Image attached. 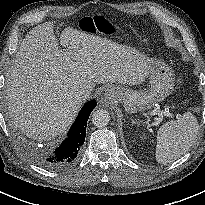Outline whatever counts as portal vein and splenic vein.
<instances>
[{
	"label": "portal vein and splenic vein",
	"mask_w": 205,
	"mask_h": 205,
	"mask_svg": "<svg viewBox=\"0 0 205 205\" xmlns=\"http://www.w3.org/2000/svg\"><path fill=\"white\" fill-rule=\"evenodd\" d=\"M154 114H158V115H163V114H164V115L167 116V117H171V118L174 117V115L171 114V113L168 112V111H160V112H158V113L154 112Z\"/></svg>",
	"instance_id": "1"
}]
</instances>
